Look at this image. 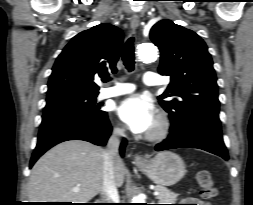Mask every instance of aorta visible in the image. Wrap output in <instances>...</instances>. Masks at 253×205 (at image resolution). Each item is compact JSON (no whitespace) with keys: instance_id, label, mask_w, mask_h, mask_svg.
<instances>
[{"instance_id":"1","label":"aorta","mask_w":253,"mask_h":205,"mask_svg":"<svg viewBox=\"0 0 253 205\" xmlns=\"http://www.w3.org/2000/svg\"><path fill=\"white\" fill-rule=\"evenodd\" d=\"M139 59L144 62L155 61L158 57V50L152 43H143L137 51ZM133 203H145V198L138 196L133 200Z\"/></svg>"}]
</instances>
